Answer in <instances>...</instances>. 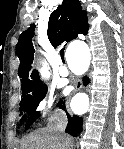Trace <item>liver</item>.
I'll list each match as a JSON object with an SVG mask.
<instances>
[{
  "label": "liver",
  "instance_id": "obj_1",
  "mask_svg": "<svg viewBox=\"0 0 124 149\" xmlns=\"http://www.w3.org/2000/svg\"><path fill=\"white\" fill-rule=\"evenodd\" d=\"M69 144L48 127L29 134L22 142V149H67Z\"/></svg>",
  "mask_w": 124,
  "mask_h": 149
}]
</instances>
